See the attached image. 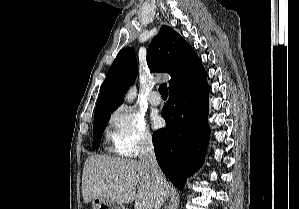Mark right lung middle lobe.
Segmentation results:
<instances>
[{"label": "right lung middle lobe", "mask_w": 299, "mask_h": 209, "mask_svg": "<svg viewBox=\"0 0 299 209\" xmlns=\"http://www.w3.org/2000/svg\"><path fill=\"white\" fill-rule=\"evenodd\" d=\"M111 116V112L101 113L94 115V123H93V143L92 148H98L102 132L106 128L109 118Z\"/></svg>", "instance_id": "dd1d6c3e"}]
</instances>
